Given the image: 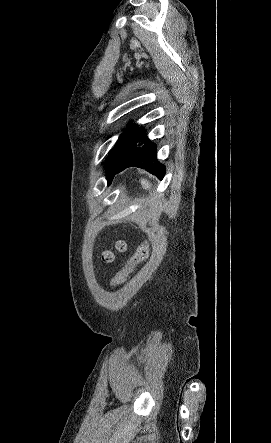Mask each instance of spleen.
<instances>
[{
	"mask_svg": "<svg viewBox=\"0 0 271 443\" xmlns=\"http://www.w3.org/2000/svg\"><path fill=\"white\" fill-rule=\"evenodd\" d=\"M141 186H143L144 190H149L151 188L150 182L148 180H140Z\"/></svg>",
	"mask_w": 271,
	"mask_h": 443,
	"instance_id": "3e777b00",
	"label": "spleen"
}]
</instances>
